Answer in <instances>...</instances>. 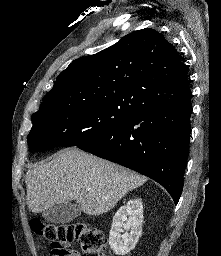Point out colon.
Returning a JSON list of instances; mask_svg holds the SVG:
<instances>
[{"mask_svg":"<svg viewBox=\"0 0 221 256\" xmlns=\"http://www.w3.org/2000/svg\"><path fill=\"white\" fill-rule=\"evenodd\" d=\"M31 228L51 242L52 254L60 253L63 245L75 241L83 256H105L106 239L100 230L89 223L55 224L35 218L31 221Z\"/></svg>","mask_w":221,"mask_h":256,"instance_id":"1","label":"colon"}]
</instances>
